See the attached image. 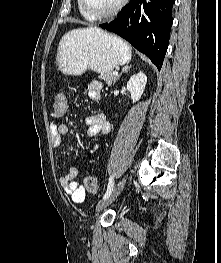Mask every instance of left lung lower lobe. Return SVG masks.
Instances as JSON below:
<instances>
[{"mask_svg":"<svg viewBox=\"0 0 221 263\" xmlns=\"http://www.w3.org/2000/svg\"><path fill=\"white\" fill-rule=\"evenodd\" d=\"M175 0H131L118 17L100 25L126 39L161 69L168 48Z\"/></svg>","mask_w":221,"mask_h":263,"instance_id":"0a47b994","label":"left lung lower lobe"}]
</instances>
